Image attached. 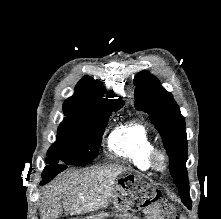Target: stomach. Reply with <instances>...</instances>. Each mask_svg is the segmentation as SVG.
Returning a JSON list of instances; mask_svg holds the SVG:
<instances>
[{"instance_id":"0dacf381","label":"stomach","mask_w":221,"mask_h":219,"mask_svg":"<svg viewBox=\"0 0 221 219\" xmlns=\"http://www.w3.org/2000/svg\"><path fill=\"white\" fill-rule=\"evenodd\" d=\"M157 195H164V190H157Z\"/></svg>"}]
</instances>
